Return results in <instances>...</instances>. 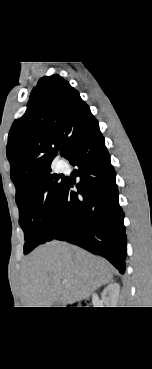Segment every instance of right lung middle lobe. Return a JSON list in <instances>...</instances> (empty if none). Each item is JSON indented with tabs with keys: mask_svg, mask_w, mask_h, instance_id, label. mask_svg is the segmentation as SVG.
I'll return each mask as SVG.
<instances>
[{
	"mask_svg": "<svg viewBox=\"0 0 152 369\" xmlns=\"http://www.w3.org/2000/svg\"><path fill=\"white\" fill-rule=\"evenodd\" d=\"M51 171L16 197L19 223L25 234L24 254L45 243L57 221L58 206L66 181Z\"/></svg>",
	"mask_w": 152,
	"mask_h": 369,
	"instance_id": "right-lung-middle-lobe-1",
	"label": "right lung middle lobe"
}]
</instances>
